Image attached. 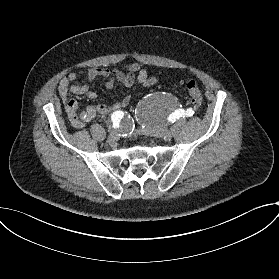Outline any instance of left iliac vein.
<instances>
[{
	"label": "left iliac vein",
	"instance_id": "1",
	"mask_svg": "<svg viewBox=\"0 0 279 279\" xmlns=\"http://www.w3.org/2000/svg\"><path fill=\"white\" fill-rule=\"evenodd\" d=\"M152 135L163 138L165 140H170L172 138V133L169 129L161 127V128H156L152 129Z\"/></svg>",
	"mask_w": 279,
	"mask_h": 279
}]
</instances>
